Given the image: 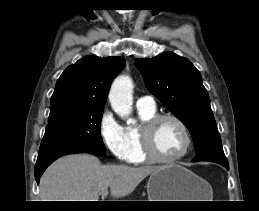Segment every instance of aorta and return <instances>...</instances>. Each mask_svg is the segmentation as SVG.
<instances>
[{
	"instance_id": "aorta-1",
	"label": "aorta",
	"mask_w": 259,
	"mask_h": 211,
	"mask_svg": "<svg viewBox=\"0 0 259 211\" xmlns=\"http://www.w3.org/2000/svg\"><path fill=\"white\" fill-rule=\"evenodd\" d=\"M133 82L127 75L117 77L109 92L112 109L123 119L133 122L130 118L133 104Z\"/></svg>"
}]
</instances>
